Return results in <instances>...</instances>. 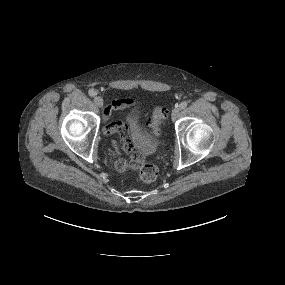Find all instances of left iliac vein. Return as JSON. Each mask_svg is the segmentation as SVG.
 <instances>
[{"mask_svg": "<svg viewBox=\"0 0 285 285\" xmlns=\"http://www.w3.org/2000/svg\"><path fill=\"white\" fill-rule=\"evenodd\" d=\"M179 113H180V108L179 107H175L172 110L171 117H172L173 121L178 117Z\"/></svg>", "mask_w": 285, "mask_h": 285, "instance_id": "obj_1", "label": "left iliac vein"}]
</instances>
